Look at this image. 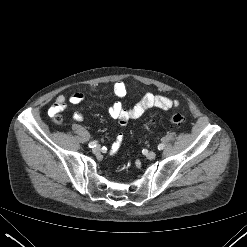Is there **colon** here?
<instances>
[{
	"mask_svg": "<svg viewBox=\"0 0 247 247\" xmlns=\"http://www.w3.org/2000/svg\"><path fill=\"white\" fill-rule=\"evenodd\" d=\"M55 122L59 123L61 121V117L59 115L54 116ZM185 118L181 113H174L169 117V122L171 126L177 127L184 123Z\"/></svg>",
	"mask_w": 247,
	"mask_h": 247,
	"instance_id": "obj_1",
	"label": "colon"
}]
</instances>
